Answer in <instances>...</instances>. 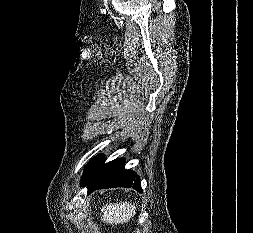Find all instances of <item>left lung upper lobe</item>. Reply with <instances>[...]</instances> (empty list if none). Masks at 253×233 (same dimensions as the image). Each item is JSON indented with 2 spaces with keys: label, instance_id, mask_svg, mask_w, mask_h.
I'll list each match as a JSON object with an SVG mask.
<instances>
[{
  "label": "left lung upper lobe",
  "instance_id": "left-lung-upper-lobe-1",
  "mask_svg": "<svg viewBox=\"0 0 253 233\" xmlns=\"http://www.w3.org/2000/svg\"><path fill=\"white\" fill-rule=\"evenodd\" d=\"M98 157V156H97ZM97 157H95L94 159H92L85 167V170L83 172V177H82V180L85 179L89 173L91 172V170L93 169V166L97 160Z\"/></svg>",
  "mask_w": 253,
  "mask_h": 233
}]
</instances>
